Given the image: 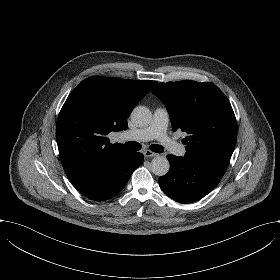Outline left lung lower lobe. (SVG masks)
I'll use <instances>...</instances> for the list:
<instances>
[{"instance_id": "1", "label": "left lung lower lobe", "mask_w": 280, "mask_h": 280, "mask_svg": "<svg viewBox=\"0 0 280 280\" xmlns=\"http://www.w3.org/2000/svg\"><path fill=\"white\" fill-rule=\"evenodd\" d=\"M170 170L159 178L163 192L180 203H192L211 192L220 182L227 167L190 159L187 157L167 156Z\"/></svg>"}]
</instances>
